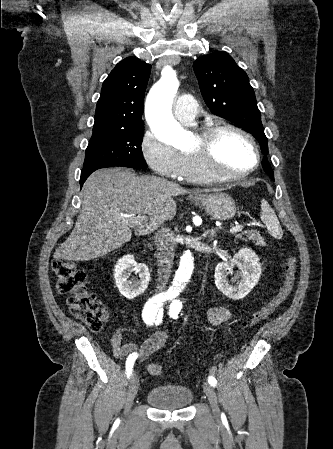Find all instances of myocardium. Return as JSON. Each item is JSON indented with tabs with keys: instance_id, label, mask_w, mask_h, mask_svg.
<instances>
[{
	"instance_id": "obj_1",
	"label": "myocardium",
	"mask_w": 333,
	"mask_h": 449,
	"mask_svg": "<svg viewBox=\"0 0 333 449\" xmlns=\"http://www.w3.org/2000/svg\"><path fill=\"white\" fill-rule=\"evenodd\" d=\"M223 132H234L246 139L255 153V162L249 169L236 173L224 174L214 169L212 165L213 148L216 138ZM198 147L191 152V155L196 159L203 174L215 182H234L247 178L259 166L261 161V154L258 144L254 137L246 130L229 123H216L204 126L198 133Z\"/></svg>"
}]
</instances>
